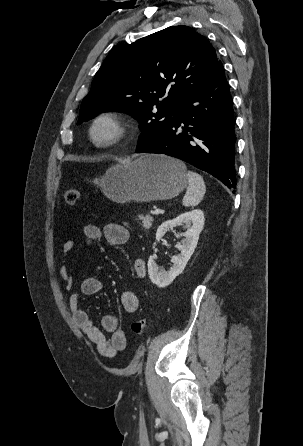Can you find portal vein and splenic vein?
Wrapping results in <instances>:
<instances>
[{"label": "portal vein and splenic vein", "mask_w": 303, "mask_h": 446, "mask_svg": "<svg viewBox=\"0 0 303 446\" xmlns=\"http://www.w3.org/2000/svg\"><path fill=\"white\" fill-rule=\"evenodd\" d=\"M162 211L160 209H155V211L153 212V214L155 215H159Z\"/></svg>", "instance_id": "obj_1"}]
</instances>
